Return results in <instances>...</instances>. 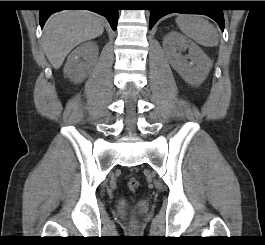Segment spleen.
Here are the masks:
<instances>
[{"label":"spleen","mask_w":265,"mask_h":245,"mask_svg":"<svg viewBox=\"0 0 265 245\" xmlns=\"http://www.w3.org/2000/svg\"><path fill=\"white\" fill-rule=\"evenodd\" d=\"M176 24L189 38L202 46L214 47L219 43L214 26L200 15H179Z\"/></svg>","instance_id":"spleen-1"}]
</instances>
